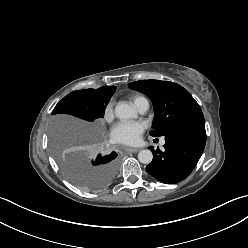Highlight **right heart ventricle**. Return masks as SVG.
I'll use <instances>...</instances> for the list:
<instances>
[{"label": "right heart ventricle", "mask_w": 248, "mask_h": 248, "mask_svg": "<svg viewBox=\"0 0 248 248\" xmlns=\"http://www.w3.org/2000/svg\"><path fill=\"white\" fill-rule=\"evenodd\" d=\"M133 103L135 106H137L140 102L147 100L144 96L142 95H134L132 97Z\"/></svg>", "instance_id": "1"}]
</instances>
